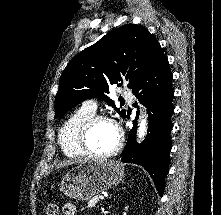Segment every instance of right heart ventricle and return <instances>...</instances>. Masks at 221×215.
<instances>
[{"label": "right heart ventricle", "mask_w": 221, "mask_h": 215, "mask_svg": "<svg viewBox=\"0 0 221 215\" xmlns=\"http://www.w3.org/2000/svg\"><path fill=\"white\" fill-rule=\"evenodd\" d=\"M93 115L95 113L81 107L64 122L59 132V142L65 155L69 157L85 155L79 145V134L84 123Z\"/></svg>", "instance_id": "e07e8e85"}]
</instances>
